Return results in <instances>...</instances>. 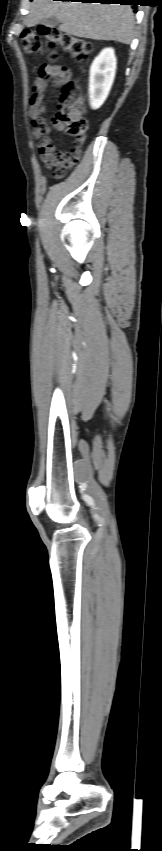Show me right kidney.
<instances>
[{"label": "right kidney", "instance_id": "right-kidney-1", "mask_svg": "<svg viewBox=\"0 0 162 851\" xmlns=\"http://www.w3.org/2000/svg\"><path fill=\"white\" fill-rule=\"evenodd\" d=\"M116 56L113 48H105L94 59L90 67L89 98L92 109H98L106 100L116 72Z\"/></svg>", "mask_w": 162, "mask_h": 851}]
</instances>
